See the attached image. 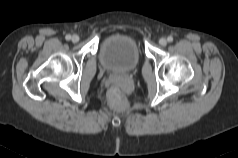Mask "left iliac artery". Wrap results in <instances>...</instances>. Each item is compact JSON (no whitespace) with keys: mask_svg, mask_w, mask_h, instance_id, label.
<instances>
[{"mask_svg":"<svg viewBox=\"0 0 238 158\" xmlns=\"http://www.w3.org/2000/svg\"><path fill=\"white\" fill-rule=\"evenodd\" d=\"M167 40H168V42H172V41H173V37H172V36H169V37L167 38Z\"/></svg>","mask_w":238,"mask_h":158,"instance_id":"left-iliac-artery-1","label":"left iliac artery"}]
</instances>
